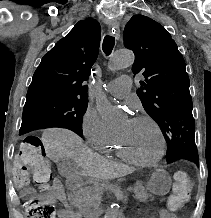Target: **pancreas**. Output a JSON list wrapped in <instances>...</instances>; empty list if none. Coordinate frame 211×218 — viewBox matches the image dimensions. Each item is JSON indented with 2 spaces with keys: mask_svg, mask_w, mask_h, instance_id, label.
I'll return each mask as SVG.
<instances>
[{
  "mask_svg": "<svg viewBox=\"0 0 211 218\" xmlns=\"http://www.w3.org/2000/svg\"><path fill=\"white\" fill-rule=\"evenodd\" d=\"M82 190H74V196H71L70 206L78 208L79 212L83 214L84 218H89L93 216V208L95 205H101V200L103 199L101 186H82ZM134 198L137 200H148L150 194H147L144 190L142 184H135L133 186Z\"/></svg>",
  "mask_w": 211,
  "mask_h": 218,
  "instance_id": "pancreas-1",
  "label": "pancreas"
}]
</instances>
